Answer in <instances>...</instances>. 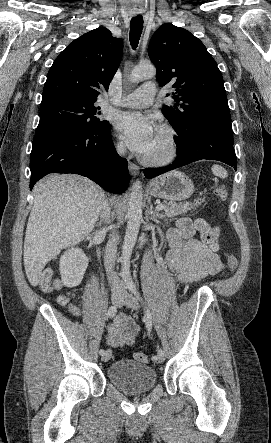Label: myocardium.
I'll use <instances>...</instances> for the list:
<instances>
[{"instance_id":"myocardium-1","label":"myocardium","mask_w":271,"mask_h":443,"mask_svg":"<svg viewBox=\"0 0 271 443\" xmlns=\"http://www.w3.org/2000/svg\"><path fill=\"white\" fill-rule=\"evenodd\" d=\"M156 129L164 135L167 141V150L160 155H146L144 160L150 165L159 166L168 164L177 157L179 152V143L176 131L171 126L160 124Z\"/></svg>"}]
</instances>
